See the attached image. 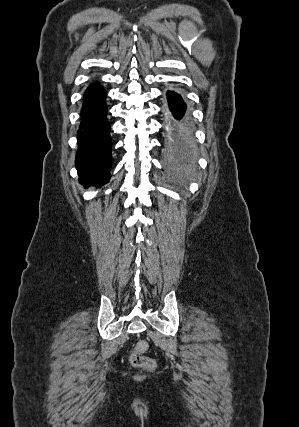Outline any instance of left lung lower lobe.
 <instances>
[{
  "instance_id": "0a47b994",
  "label": "left lung lower lobe",
  "mask_w": 299,
  "mask_h": 427,
  "mask_svg": "<svg viewBox=\"0 0 299 427\" xmlns=\"http://www.w3.org/2000/svg\"><path fill=\"white\" fill-rule=\"evenodd\" d=\"M169 110L165 112L166 151L174 157L188 154L193 145L189 129L185 126L186 104L180 94L168 90Z\"/></svg>"
}]
</instances>
